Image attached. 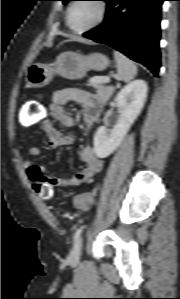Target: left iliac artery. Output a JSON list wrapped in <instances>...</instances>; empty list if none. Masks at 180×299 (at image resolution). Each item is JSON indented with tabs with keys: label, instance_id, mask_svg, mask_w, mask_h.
I'll return each instance as SVG.
<instances>
[{
	"label": "left iliac artery",
	"instance_id": "1",
	"mask_svg": "<svg viewBox=\"0 0 180 299\" xmlns=\"http://www.w3.org/2000/svg\"><path fill=\"white\" fill-rule=\"evenodd\" d=\"M83 228H84V226H81L80 228H78V229L76 230V232H75V234H74V240H75V241L79 238V236H80V234H81Z\"/></svg>",
	"mask_w": 180,
	"mask_h": 299
}]
</instances>
